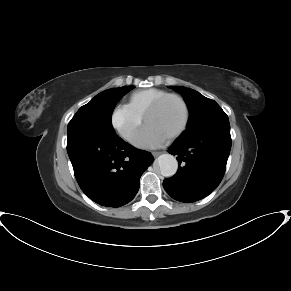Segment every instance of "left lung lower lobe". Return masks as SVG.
<instances>
[{
  "label": "left lung lower lobe",
  "instance_id": "0a47b994",
  "mask_svg": "<svg viewBox=\"0 0 291 291\" xmlns=\"http://www.w3.org/2000/svg\"><path fill=\"white\" fill-rule=\"evenodd\" d=\"M230 149L229 121L178 138L168 151L177 156L178 171L163 181L164 189L186 203L208 196L223 178Z\"/></svg>",
  "mask_w": 291,
  "mask_h": 291
}]
</instances>
